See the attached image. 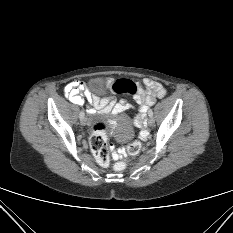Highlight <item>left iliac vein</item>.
I'll return each mask as SVG.
<instances>
[{
	"instance_id": "left-iliac-vein-1",
	"label": "left iliac vein",
	"mask_w": 233,
	"mask_h": 233,
	"mask_svg": "<svg viewBox=\"0 0 233 233\" xmlns=\"http://www.w3.org/2000/svg\"><path fill=\"white\" fill-rule=\"evenodd\" d=\"M147 124H148V126H153L154 125V119L152 118V117H149L148 119H147Z\"/></svg>"
}]
</instances>
